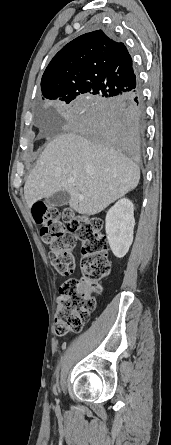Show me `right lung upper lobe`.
I'll use <instances>...</instances> for the list:
<instances>
[{
  "label": "right lung upper lobe",
  "mask_w": 171,
  "mask_h": 445,
  "mask_svg": "<svg viewBox=\"0 0 171 445\" xmlns=\"http://www.w3.org/2000/svg\"><path fill=\"white\" fill-rule=\"evenodd\" d=\"M138 87L132 58L113 34L96 30L66 44L51 60L41 81L47 99L96 92L125 96Z\"/></svg>",
  "instance_id": "1"
}]
</instances>
